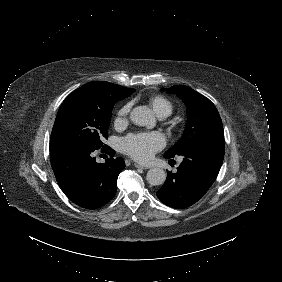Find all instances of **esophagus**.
I'll return each mask as SVG.
<instances>
[{"instance_id": "esophagus-1", "label": "esophagus", "mask_w": 282, "mask_h": 282, "mask_svg": "<svg viewBox=\"0 0 282 282\" xmlns=\"http://www.w3.org/2000/svg\"><path fill=\"white\" fill-rule=\"evenodd\" d=\"M134 166L139 168V169H147L148 167L144 166V165H141L139 163H134Z\"/></svg>"}]
</instances>
